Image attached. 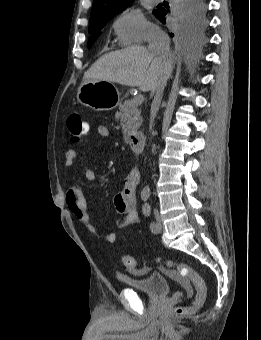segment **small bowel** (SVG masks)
Segmentation results:
<instances>
[{"mask_svg": "<svg viewBox=\"0 0 261 340\" xmlns=\"http://www.w3.org/2000/svg\"><path fill=\"white\" fill-rule=\"evenodd\" d=\"M85 124V136L90 133V126ZM98 134L101 137H109V129L100 125L97 129ZM78 152L75 149H68L65 152V166L73 167L75 165ZM84 174L88 181L94 182L96 180L95 172L88 166L84 167ZM139 171L136 168L130 169L127 174L122 190L114 196L113 202L116 210L120 213H125V217L117 224L118 228L124 229L130 227L139 221V214L137 210V198L136 188L139 182ZM66 204L72 214L78 219V221L84 226V228L92 235L103 240L107 243H114L116 240V234L113 232L100 233L91 219L87 211L86 199L83 195L82 189L77 185H72L68 188L66 193ZM192 287L186 286V293L192 294Z\"/></svg>", "mask_w": 261, "mask_h": 340, "instance_id": "obj_1", "label": "small bowel"}]
</instances>
